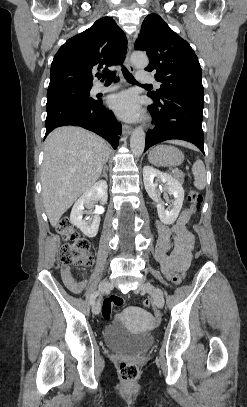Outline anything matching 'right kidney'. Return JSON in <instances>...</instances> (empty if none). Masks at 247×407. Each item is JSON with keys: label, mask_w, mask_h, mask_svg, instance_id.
Listing matches in <instances>:
<instances>
[{"label": "right kidney", "mask_w": 247, "mask_h": 407, "mask_svg": "<svg viewBox=\"0 0 247 407\" xmlns=\"http://www.w3.org/2000/svg\"><path fill=\"white\" fill-rule=\"evenodd\" d=\"M107 199V183L105 181L96 182L75 202L70 214V222L87 237H95L100 225V216L95 212L91 222L83 220L84 205L91 206L97 200L105 204Z\"/></svg>", "instance_id": "right-kidney-1"}]
</instances>
